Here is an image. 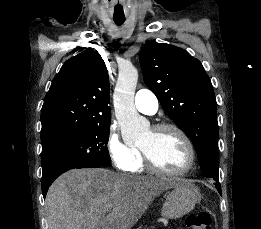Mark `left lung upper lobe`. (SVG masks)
<instances>
[{
	"label": "left lung upper lobe",
	"instance_id": "left-lung-upper-lobe-1",
	"mask_svg": "<svg viewBox=\"0 0 261 229\" xmlns=\"http://www.w3.org/2000/svg\"><path fill=\"white\" fill-rule=\"evenodd\" d=\"M139 61L145 84L167 115L191 139L200 166L217 157V106L210 78L201 62L184 49L148 42Z\"/></svg>",
	"mask_w": 261,
	"mask_h": 229
}]
</instances>
